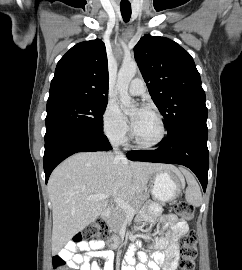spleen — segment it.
Here are the masks:
<instances>
[{
	"label": "spleen",
	"mask_w": 242,
	"mask_h": 270,
	"mask_svg": "<svg viewBox=\"0 0 242 270\" xmlns=\"http://www.w3.org/2000/svg\"><path fill=\"white\" fill-rule=\"evenodd\" d=\"M182 172L188 184V187L185 191L186 201L193 206H200L202 203V195L198 183L188 171L183 170Z\"/></svg>",
	"instance_id": "spleen-1"
}]
</instances>
